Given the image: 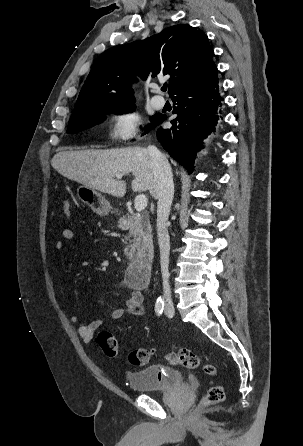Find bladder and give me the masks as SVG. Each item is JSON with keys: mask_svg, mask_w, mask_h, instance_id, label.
<instances>
[{"mask_svg": "<svg viewBox=\"0 0 303 446\" xmlns=\"http://www.w3.org/2000/svg\"><path fill=\"white\" fill-rule=\"evenodd\" d=\"M126 379L130 389L136 392H160L185 386V379L180 371L163 366H149L130 372Z\"/></svg>", "mask_w": 303, "mask_h": 446, "instance_id": "1", "label": "bladder"}]
</instances>
